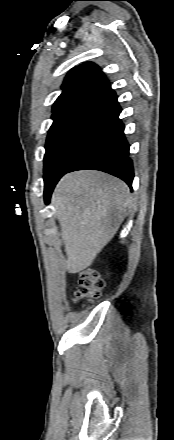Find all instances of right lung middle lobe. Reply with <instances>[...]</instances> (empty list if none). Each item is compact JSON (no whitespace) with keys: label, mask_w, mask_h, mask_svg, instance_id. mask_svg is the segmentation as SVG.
<instances>
[{"label":"right lung middle lobe","mask_w":174,"mask_h":440,"mask_svg":"<svg viewBox=\"0 0 174 440\" xmlns=\"http://www.w3.org/2000/svg\"><path fill=\"white\" fill-rule=\"evenodd\" d=\"M98 109V98H89L52 115L44 156L45 186L58 182L80 154Z\"/></svg>","instance_id":"1"}]
</instances>
